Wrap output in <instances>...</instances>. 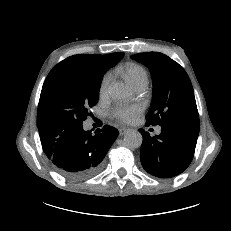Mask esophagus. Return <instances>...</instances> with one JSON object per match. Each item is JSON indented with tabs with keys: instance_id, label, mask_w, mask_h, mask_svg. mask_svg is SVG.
<instances>
[{
	"instance_id": "1",
	"label": "esophagus",
	"mask_w": 231,
	"mask_h": 231,
	"mask_svg": "<svg viewBox=\"0 0 231 231\" xmlns=\"http://www.w3.org/2000/svg\"><path fill=\"white\" fill-rule=\"evenodd\" d=\"M127 131H128V128L122 127V128L119 129V134H120V135H124V134L127 133Z\"/></svg>"
}]
</instances>
